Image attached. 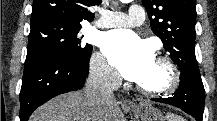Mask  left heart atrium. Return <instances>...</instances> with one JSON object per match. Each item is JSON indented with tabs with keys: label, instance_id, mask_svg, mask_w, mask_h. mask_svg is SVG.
Segmentation results:
<instances>
[{
	"label": "left heart atrium",
	"instance_id": "1",
	"mask_svg": "<svg viewBox=\"0 0 217 121\" xmlns=\"http://www.w3.org/2000/svg\"><path fill=\"white\" fill-rule=\"evenodd\" d=\"M102 51L118 72L131 81L139 82L154 62L151 47L128 30L107 32Z\"/></svg>",
	"mask_w": 217,
	"mask_h": 121
}]
</instances>
